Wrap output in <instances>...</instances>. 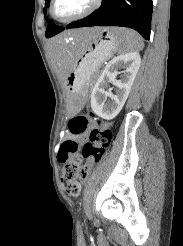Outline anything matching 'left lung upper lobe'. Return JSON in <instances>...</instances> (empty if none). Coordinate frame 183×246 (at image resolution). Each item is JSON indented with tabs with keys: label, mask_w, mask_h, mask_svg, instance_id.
<instances>
[{
	"label": "left lung upper lobe",
	"mask_w": 183,
	"mask_h": 246,
	"mask_svg": "<svg viewBox=\"0 0 183 246\" xmlns=\"http://www.w3.org/2000/svg\"><path fill=\"white\" fill-rule=\"evenodd\" d=\"M49 2H50V0H45L46 6H49ZM44 14H46V8H44ZM46 20H47V18H46ZM47 21H48V26H47V30L45 33V36L47 38L52 37V36H54V35H56V34H58L64 30V27H60V26L55 25L53 21H51V20H47Z\"/></svg>",
	"instance_id": "left-lung-upper-lobe-1"
}]
</instances>
